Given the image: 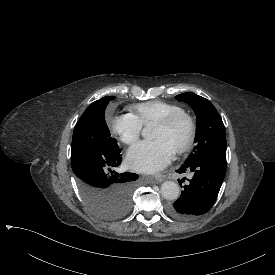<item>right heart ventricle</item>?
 Returning <instances> with one entry per match:
<instances>
[{
    "instance_id": "obj_1",
    "label": "right heart ventricle",
    "mask_w": 275,
    "mask_h": 275,
    "mask_svg": "<svg viewBox=\"0 0 275 275\" xmlns=\"http://www.w3.org/2000/svg\"><path fill=\"white\" fill-rule=\"evenodd\" d=\"M131 110L135 111L133 116H135L142 125L158 123L172 114L183 112L180 106L162 100H152L136 104L131 107Z\"/></svg>"
}]
</instances>
